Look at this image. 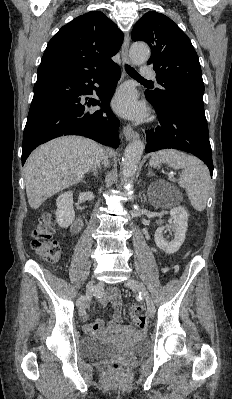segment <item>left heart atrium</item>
I'll return each mask as SVG.
<instances>
[{
	"label": "left heart atrium",
	"mask_w": 232,
	"mask_h": 399,
	"mask_svg": "<svg viewBox=\"0 0 232 399\" xmlns=\"http://www.w3.org/2000/svg\"><path fill=\"white\" fill-rule=\"evenodd\" d=\"M113 109L117 114L128 119H140L146 114L145 106L137 101L136 94L131 89H123L117 94Z\"/></svg>",
	"instance_id": "obj_1"
}]
</instances>
